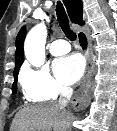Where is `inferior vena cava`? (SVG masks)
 Wrapping results in <instances>:
<instances>
[{
    "label": "inferior vena cava",
    "mask_w": 117,
    "mask_h": 131,
    "mask_svg": "<svg viewBox=\"0 0 117 131\" xmlns=\"http://www.w3.org/2000/svg\"><path fill=\"white\" fill-rule=\"evenodd\" d=\"M73 94V89L71 87L61 86L60 87V98H59V106L66 107L71 96Z\"/></svg>",
    "instance_id": "602c4592"
}]
</instances>
